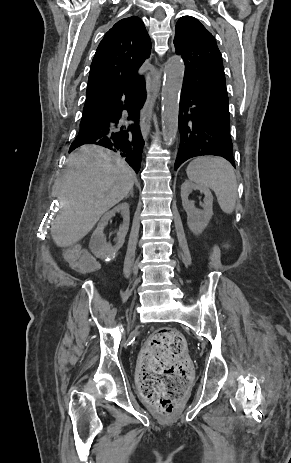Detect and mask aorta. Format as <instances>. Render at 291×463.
<instances>
[{"instance_id": "1", "label": "aorta", "mask_w": 291, "mask_h": 463, "mask_svg": "<svg viewBox=\"0 0 291 463\" xmlns=\"http://www.w3.org/2000/svg\"><path fill=\"white\" fill-rule=\"evenodd\" d=\"M184 63L180 57H172L167 62L162 88V132L166 142L172 141L178 130L179 98L184 78Z\"/></svg>"}]
</instances>
